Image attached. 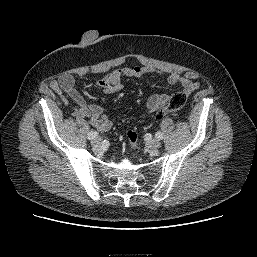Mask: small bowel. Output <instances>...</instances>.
Returning <instances> with one entry per match:
<instances>
[{
    "label": "small bowel",
    "instance_id": "small-bowel-1",
    "mask_svg": "<svg viewBox=\"0 0 257 257\" xmlns=\"http://www.w3.org/2000/svg\"><path fill=\"white\" fill-rule=\"evenodd\" d=\"M158 73L167 76V82L172 86H181L186 94H190L198 87L196 77L193 73L179 75L175 72L159 71L151 67H125L115 69L98 80L97 85L106 93L114 94L122 90L121 80L123 77L140 78L146 74ZM54 91L59 94L64 93L76 104L77 109L74 114L76 117H85L89 119L90 124L101 132H107L111 129L113 123L105 114L104 109L97 104H88L75 88V77L72 74L62 75L58 81L51 84ZM169 100L166 94L151 95L146 102L147 113H153L163 106Z\"/></svg>",
    "mask_w": 257,
    "mask_h": 257
}]
</instances>
